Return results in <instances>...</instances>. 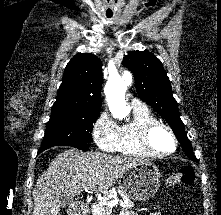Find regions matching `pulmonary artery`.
Returning a JSON list of instances; mask_svg holds the SVG:
<instances>
[{
  "label": "pulmonary artery",
  "mask_w": 221,
  "mask_h": 215,
  "mask_svg": "<svg viewBox=\"0 0 221 215\" xmlns=\"http://www.w3.org/2000/svg\"><path fill=\"white\" fill-rule=\"evenodd\" d=\"M131 106L133 108H142V107H145V105L139 100V99H132L131 101Z\"/></svg>",
  "instance_id": "1"
}]
</instances>
